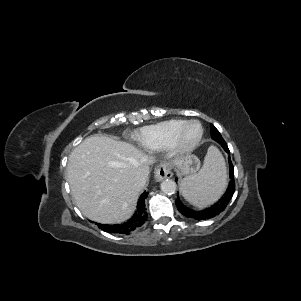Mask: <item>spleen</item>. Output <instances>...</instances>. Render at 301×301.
<instances>
[{"mask_svg": "<svg viewBox=\"0 0 301 301\" xmlns=\"http://www.w3.org/2000/svg\"><path fill=\"white\" fill-rule=\"evenodd\" d=\"M226 186L224 158L215 146H210L203 167L197 174L183 178L180 191L189 203L202 208L218 200Z\"/></svg>", "mask_w": 301, "mask_h": 301, "instance_id": "1", "label": "spleen"}]
</instances>
